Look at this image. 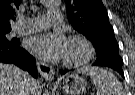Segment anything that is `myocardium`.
Returning <instances> with one entry per match:
<instances>
[{
  "instance_id": "obj_1",
  "label": "myocardium",
  "mask_w": 135,
  "mask_h": 95,
  "mask_svg": "<svg viewBox=\"0 0 135 95\" xmlns=\"http://www.w3.org/2000/svg\"><path fill=\"white\" fill-rule=\"evenodd\" d=\"M79 42L84 46L85 54L78 60L65 59L64 65L68 67H78L89 62L95 54V49L92 42L83 35H74L70 38V43Z\"/></svg>"
}]
</instances>
